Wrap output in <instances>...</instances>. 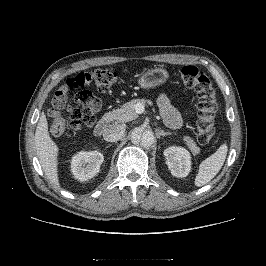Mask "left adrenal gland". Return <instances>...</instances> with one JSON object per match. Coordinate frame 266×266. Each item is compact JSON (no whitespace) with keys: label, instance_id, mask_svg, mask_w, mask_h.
Instances as JSON below:
<instances>
[{"label":"left adrenal gland","instance_id":"1","mask_svg":"<svg viewBox=\"0 0 266 266\" xmlns=\"http://www.w3.org/2000/svg\"><path fill=\"white\" fill-rule=\"evenodd\" d=\"M157 134L159 135V136H166V135H172V133L171 132H165V131H162V130H159L158 132H157Z\"/></svg>","mask_w":266,"mask_h":266}]
</instances>
